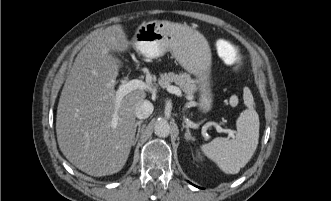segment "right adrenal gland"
<instances>
[{"mask_svg": "<svg viewBox=\"0 0 331 201\" xmlns=\"http://www.w3.org/2000/svg\"><path fill=\"white\" fill-rule=\"evenodd\" d=\"M142 123H143V120H140V121H137L134 125V136H133L132 145H135L139 138V133H140V128H141ZM137 127H138V131H137ZM136 131H137V134H136Z\"/></svg>", "mask_w": 331, "mask_h": 201, "instance_id": "right-adrenal-gland-1", "label": "right adrenal gland"}]
</instances>
